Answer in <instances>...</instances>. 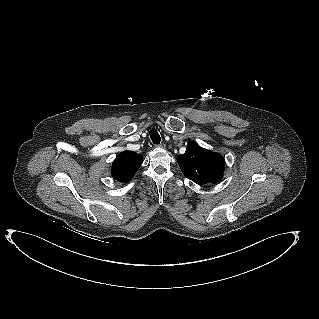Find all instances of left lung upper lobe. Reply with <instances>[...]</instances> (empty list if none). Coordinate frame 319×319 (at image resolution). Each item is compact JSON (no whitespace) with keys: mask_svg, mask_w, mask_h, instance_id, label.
Segmentation results:
<instances>
[{"mask_svg":"<svg viewBox=\"0 0 319 319\" xmlns=\"http://www.w3.org/2000/svg\"><path fill=\"white\" fill-rule=\"evenodd\" d=\"M178 164L183 174L199 185L217 183L224 172L223 156L201 148L190 142L186 152L178 156Z\"/></svg>","mask_w":319,"mask_h":319,"instance_id":"obj_1","label":"left lung upper lobe"}]
</instances>
